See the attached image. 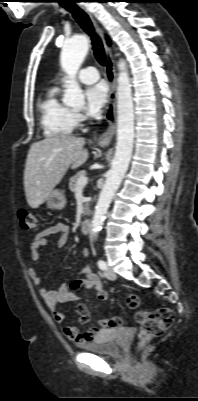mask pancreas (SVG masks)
<instances>
[{
    "mask_svg": "<svg viewBox=\"0 0 198 401\" xmlns=\"http://www.w3.org/2000/svg\"><path fill=\"white\" fill-rule=\"evenodd\" d=\"M86 175V172L84 171V170H82V171H79L78 173H76L73 177H71L70 178V180H69V190L71 191V192H74L75 191V189H76V186H77V182H78V179L80 178V177H82V176H85ZM89 203H86L85 204V208H84V215H87V214H89L90 213V210H89Z\"/></svg>",
    "mask_w": 198,
    "mask_h": 401,
    "instance_id": "obj_1",
    "label": "pancreas"
}]
</instances>
